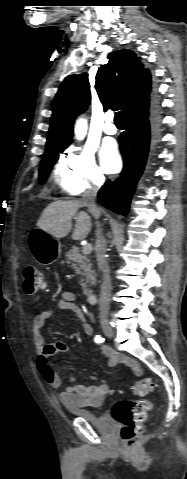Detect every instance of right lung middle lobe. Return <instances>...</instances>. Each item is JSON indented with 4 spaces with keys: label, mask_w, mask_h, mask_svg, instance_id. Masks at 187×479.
<instances>
[{
    "label": "right lung middle lobe",
    "mask_w": 187,
    "mask_h": 479,
    "mask_svg": "<svg viewBox=\"0 0 187 479\" xmlns=\"http://www.w3.org/2000/svg\"><path fill=\"white\" fill-rule=\"evenodd\" d=\"M66 148H60V149H51L46 151L42 163H41V168H40V183H44L49 172L51 171L54 163L58 160L60 154L64 151Z\"/></svg>",
    "instance_id": "dd1d6c3e"
}]
</instances>
